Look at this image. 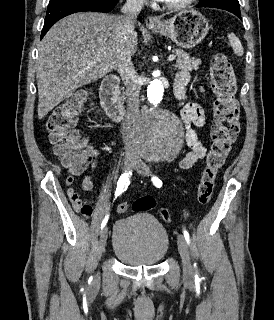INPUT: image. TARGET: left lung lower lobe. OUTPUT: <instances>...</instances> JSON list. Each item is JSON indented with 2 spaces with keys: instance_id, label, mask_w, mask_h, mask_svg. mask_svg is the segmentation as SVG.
Instances as JSON below:
<instances>
[{
  "instance_id": "1",
  "label": "left lung lower lobe",
  "mask_w": 274,
  "mask_h": 320,
  "mask_svg": "<svg viewBox=\"0 0 274 320\" xmlns=\"http://www.w3.org/2000/svg\"><path fill=\"white\" fill-rule=\"evenodd\" d=\"M196 7H207V6H203V5L199 4V5H197ZM229 12L235 14L237 17H239V18L241 19V14H240V12H236V11H229Z\"/></svg>"
}]
</instances>
